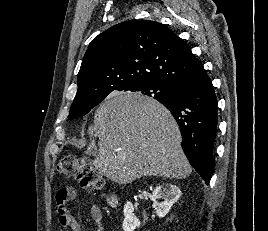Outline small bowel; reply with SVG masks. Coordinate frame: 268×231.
I'll return each mask as SVG.
<instances>
[{"label":"small bowel","instance_id":"obj_1","mask_svg":"<svg viewBox=\"0 0 268 231\" xmlns=\"http://www.w3.org/2000/svg\"><path fill=\"white\" fill-rule=\"evenodd\" d=\"M63 192H67L62 196ZM78 197V192L74 187L67 186L60 189L56 197V213L60 227L70 229L71 231H81V227L67 207V203L75 200ZM90 216L94 221V231H105L102 221V212L98 205L90 204Z\"/></svg>","mask_w":268,"mask_h":231}]
</instances>
